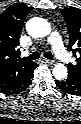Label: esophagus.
<instances>
[{"label": "esophagus", "mask_w": 81, "mask_h": 124, "mask_svg": "<svg viewBox=\"0 0 81 124\" xmlns=\"http://www.w3.org/2000/svg\"><path fill=\"white\" fill-rule=\"evenodd\" d=\"M45 61H46L48 64H50V65H54V64H55V60L46 59Z\"/></svg>", "instance_id": "esophagus-1"}]
</instances>
